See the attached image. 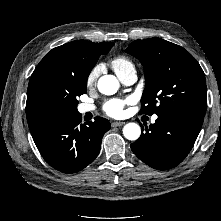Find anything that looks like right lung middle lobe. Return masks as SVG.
Returning <instances> with one entry per match:
<instances>
[{
	"label": "right lung middle lobe",
	"instance_id": "dd1d6c3e",
	"mask_svg": "<svg viewBox=\"0 0 221 221\" xmlns=\"http://www.w3.org/2000/svg\"><path fill=\"white\" fill-rule=\"evenodd\" d=\"M113 46H105L92 50L88 55L77 58L72 67L64 77V81L67 87V93H63L58 97V101L55 104L56 111H65L68 113H77V104L79 97L86 93L87 78L96 64L100 55L106 54Z\"/></svg>",
	"mask_w": 221,
	"mask_h": 221
}]
</instances>
